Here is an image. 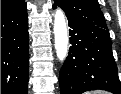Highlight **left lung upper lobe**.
Returning a JSON list of instances; mask_svg holds the SVG:
<instances>
[{
    "label": "left lung upper lobe",
    "instance_id": "5c2ea615",
    "mask_svg": "<svg viewBox=\"0 0 121 94\" xmlns=\"http://www.w3.org/2000/svg\"><path fill=\"white\" fill-rule=\"evenodd\" d=\"M67 16L85 21L92 25L107 28L97 0H54Z\"/></svg>",
    "mask_w": 121,
    "mask_h": 94
}]
</instances>
